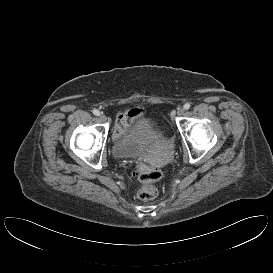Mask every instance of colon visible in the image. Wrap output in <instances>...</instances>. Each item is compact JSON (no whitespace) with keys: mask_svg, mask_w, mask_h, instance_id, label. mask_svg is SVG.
Returning <instances> with one entry per match:
<instances>
[{"mask_svg":"<svg viewBox=\"0 0 273 273\" xmlns=\"http://www.w3.org/2000/svg\"><path fill=\"white\" fill-rule=\"evenodd\" d=\"M137 175L140 181L138 197L142 200H151L158 194L155 183L161 178V172L157 168L150 167L144 163L137 168Z\"/></svg>","mask_w":273,"mask_h":273,"instance_id":"obj_1","label":"colon"}]
</instances>
